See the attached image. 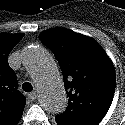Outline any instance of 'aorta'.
<instances>
[{
	"instance_id": "obj_1",
	"label": "aorta",
	"mask_w": 125,
	"mask_h": 125,
	"mask_svg": "<svg viewBox=\"0 0 125 125\" xmlns=\"http://www.w3.org/2000/svg\"><path fill=\"white\" fill-rule=\"evenodd\" d=\"M22 63L31 73L39 91L41 107L49 113H62L67 107V96L57 65L42 47L27 48Z\"/></svg>"
}]
</instances>
